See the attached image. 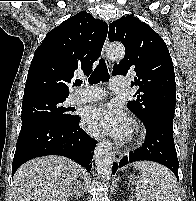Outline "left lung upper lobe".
Listing matches in <instances>:
<instances>
[{
  "label": "left lung upper lobe",
  "instance_id": "obj_1",
  "mask_svg": "<svg viewBox=\"0 0 196 201\" xmlns=\"http://www.w3.org/2000/svg\"><path fill=\"white\" fill-rule=\"evenodd\" d=\"M109 40L120 41L125 57L114 65L113 75L136 72L138 86L127 107L144 125L156 119L172 120L176 105L173 62L163 39L147 24L127 15L109 25Z\"/></svg>",
  "mask_w": 196,
  "mask_h": 201
}]
</instances>
